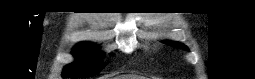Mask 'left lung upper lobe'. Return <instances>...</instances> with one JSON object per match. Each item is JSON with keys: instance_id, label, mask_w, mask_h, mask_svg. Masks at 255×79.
<instances>
[{"instance_id": "5c2ea615", "label": "left lung upper lobe", "mask_w": 255, "mask_h": 79, "mask_svg": "<svg viewBox=\"0 0 255 79\" xmlns=\"http://www.w3.org/2000/svg\"><path fill=\"white\" fill-rule=\"evenodd\" d=\"M168 45H171V46H175V47H178V48H181V49H184V50H188V48L186 46H184L183 44H180L178 42H173V41H169V42H164Z\"/></svg>"}]
</instances>
